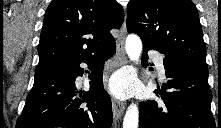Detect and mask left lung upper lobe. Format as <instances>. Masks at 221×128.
Segmentation results:
<instances>
[{
    "mask_svg": "<svg viewBox=\"0 0 221 128\" xmlns=\"http://www.w3.org/2000/svg\"><path fill=\"white\" fill-rule=\"evenodd\" d=\"M127 30L145 47L207 68L199 15L191 0H130Z\"/></svg>",
    "mask_w": 221,
    "mask_h": 128,
    "instance_id": "obj_1",
    "label": "left lung upper lobe"
}]
</instances>
